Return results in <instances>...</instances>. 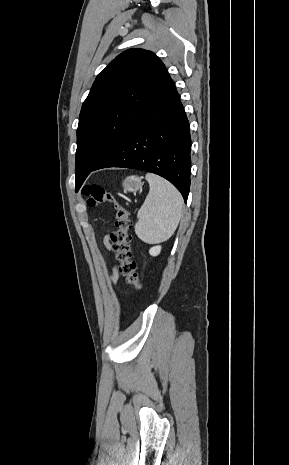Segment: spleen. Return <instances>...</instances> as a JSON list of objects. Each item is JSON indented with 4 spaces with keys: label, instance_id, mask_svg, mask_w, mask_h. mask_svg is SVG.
<instances>
[{
    "label": "spleen",
    "instance_id": "spleen-1",
    "mask_svg": "<svg viewBox=\"0 0 289 465\" xmlns=\"http://www.w3.org/2000/svg\"><path fill=\"white\" fill-rule=\"evenodd\" d=\"M149 193L138 211L135 233L143 242L156 244L168 240L179 224L183 198L162 177L148 173Z\"/></svg>",
    "mask_w": 289,
    "mask_h": 465
}]
</instances>
